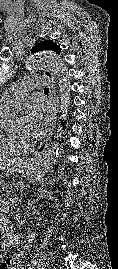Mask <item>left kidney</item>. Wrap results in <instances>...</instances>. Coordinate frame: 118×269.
Instances as JSON below:
<instances>
[{"instance_id": "5707ae66", "label": "left kidney", "mask_w": 118, "mask_h": 269, "mask_svg": "<svg viewBox=\"0 0 118 269\" xmlns=\"http://www.w3.org/2000/svg\"><path fill=\"white\" fill-rule=\"evenodd\" d=\"M40 194L42 195V196H44V197H47V198H52V196H51V192H48V191H46V190H41L40 191Z\"/></svg>"}]
</instances>
